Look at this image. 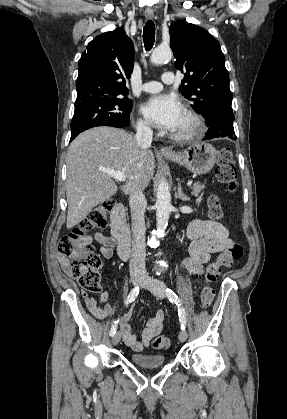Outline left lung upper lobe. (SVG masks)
Listing matches in <instances>:
<instances>
[{"mask_svg": "<svg viewBox=\"0 0 287 419\" xmlns=\"http://www.w3.org/2000/svg\"><path fill=\"white\" fill-rule=\"evenodd\" d=\"M170 47L176 58L175 68L185 72L181 93L210 122L218 109L232 104L219 42L205 29L178 21L170 27Z\"/></svg>", "mask_w": 287, "mask_h": 419, "instance_id": "left-lung-upper-lobe-1", "label": "left lung upper lobe"}]
</instances>
